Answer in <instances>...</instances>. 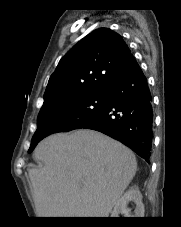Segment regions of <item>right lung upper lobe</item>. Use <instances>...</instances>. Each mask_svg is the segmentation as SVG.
<instances>
[{
  "label": "right lung upper lobe",
  "mask_w": 181,
  "mask_h": 227,
  "mask_svg": "<svg viewBox=\"0 0 181 227\" xmlns=\"http://www.w3.org/2000/svg\"><path fill=\"white\" fill-rule=\"evenodd\" d=\"M134 60L119 34L107 28L91 32L61 58L49 79L41 109L108 89L128 72Z\"/></svg>",
  "instance_id": "right-lung-upper-lobe-1"
}]
</instances>
